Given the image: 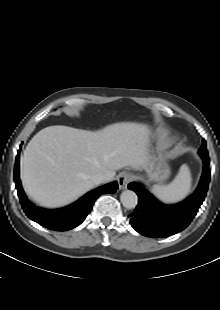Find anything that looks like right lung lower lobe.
<instances>
[{
  "instance_id": "98d812e1",
  "label": "right lung lower lobe",
  "mask_w": 220,
  "mask_h": 310,
  "mask_svg": "<svg viewBox=\"0 0 220 310\" xmlns=\"http://www.w3.org/2000/svg\"><path fill=\"white\" fill-rule=\"evenodd\" d=\"M18 151L14 169V181L18 190L20 203L26 215L41 226L55 231H67L80 225L90 213L95 200L104 193H114L118 189L116 181L101 186L85 194L75 203L55 210L43 209L32 204L26 197L19 178Z\"/></svg>"
}]
</instances>
